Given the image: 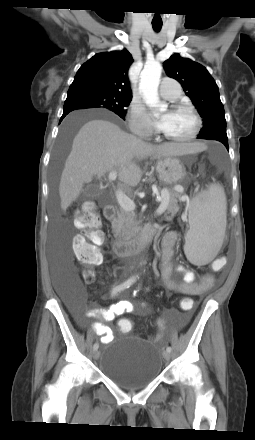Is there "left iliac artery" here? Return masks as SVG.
Here are the masks:
<instances>
[{
    "label": "left iliac artery",
    "instance_id": "44dca946",
    "mask_svg": "<svg viewBox=\"0 0 255 440\" xmlns=\"http://www.w3.org/2000/svg\"><path fill=\"white\" fill-rule=\"evenodd\" d=\"M136 292H137V291H134V294H135ZM171 350H172L171 347H167V348H166V351H168V352H171Z\"/></svg>",
    "mask_w": 255,
    "mask_h": 440
}]
</instances>
